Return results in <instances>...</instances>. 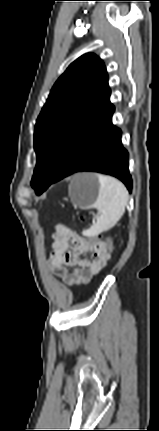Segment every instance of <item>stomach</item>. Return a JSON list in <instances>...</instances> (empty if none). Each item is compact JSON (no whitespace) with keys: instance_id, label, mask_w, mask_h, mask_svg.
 Wrapping results in <instances>:
<instances>
[{"instance_id":"1","label":"stomach","mask_w":159,"mask_h":431,"mask_svg":"<svg viewBox=\"0 0 159 431\" xmlns=\"http://www.w3.org/2000/svg\"><path fill=\"white\" fill-rule=\"evenodd\" d=\"M99 189L97 174L79 173L73 177L69 195L73 203L80 208H89L97 201Z\"/></svg>"}]
</instances>
